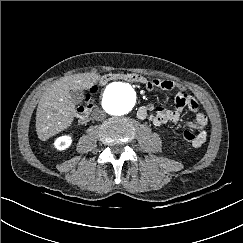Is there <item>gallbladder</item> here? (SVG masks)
<instances>
[{"label": "gallbladder", "instance_id": "bac80fb5", "mask_svg": "<svg viewBox=\"0 0 243 243\" xmlns=\"http://www.w3.org/2000/svg\"><path fill=\"white\" fill-rule=\"evenodd\" d=\"M71 100L74 104H79L83 100L82 91H71Z\"/></svg>", "mask_w": 243, "mask_h": 243}]
</instances>
